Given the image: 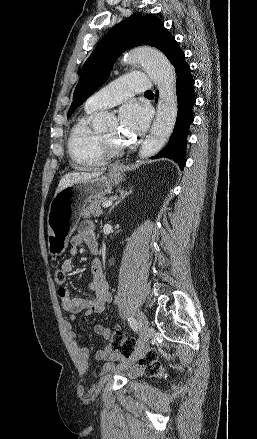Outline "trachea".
Segmentation results:
<instances>
[{"mask_svg":"<svg viewBox=\"0 0 257 439\" xmlns=\"http://www.w3.org/2000/svg\"><path fill=\"white\" fill-rule=\"evenodd\" d=\"M146 93H152L151 91H148V92H146Z\"/></svg>","mask_w":257,"mask_h":439,"instance_id":"trachea-1","label":"trachea"}]
</instances>
